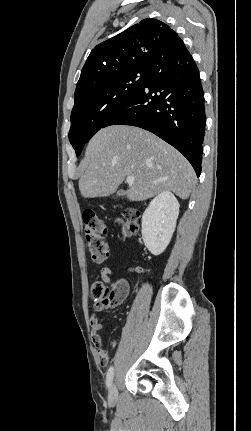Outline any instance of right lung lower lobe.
<instances>
[{
	"label": "right lung lower lobe",
	"instance_id": "obj_1",
	"mask_svg": "<svg viewBox=\"0 0 251 431\" xmlns=\"http://www.w3.org/2000/svg\"><path fill=\"white\" fill-rule=\"evenodd\" d=\"M146 129L180 151L201 173L206 116L198 68L186 47L169 50L146 68L140 90L105 126Z\"/></svg>",
	"mask_w": 251,
	"mask_h": 431
}]
</instances>
